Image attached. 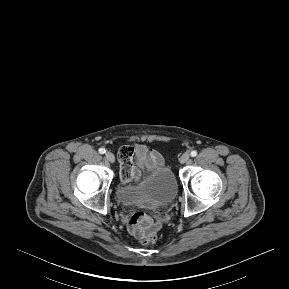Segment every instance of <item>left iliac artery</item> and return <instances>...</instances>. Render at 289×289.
Masks as SVG:
<instances>
[{
    "instance_id": "44dca946",
    "label": "left iliac artery",
    "mask_w": 289,
    "mask_h": 289,
    "mask_svg": "<svg viewBox=\"0 0 289 289\" xmlns=\"http://www.w3.org/2000/svg\"><path fill=\"white\" fill-rule=\"evenodd\" d=\"M196 155H197V151L193 150V151L191 152V156H192V157H195Z\"/></svg>"
}]
</instances>
